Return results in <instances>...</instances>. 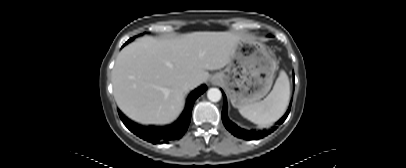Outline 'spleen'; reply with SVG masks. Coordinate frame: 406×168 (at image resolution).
<instances>
[{
  "mask_svg": "<svg viewBox=\"0 0 406 168\" xmlns=\"http://www.w3.org/2000/svg\"><path fill=\"white\" fill-rule=\"evenodd\" d=\"M290 98V84L281 71L270 94L262 101L239 109L240 114L259 126H269L285 113Z\"/></svg>",
  "mask_w": 406,
  "mask_h": 168,
  "instance_id": "1",
  "label": "spleen"
}]
</instances>
